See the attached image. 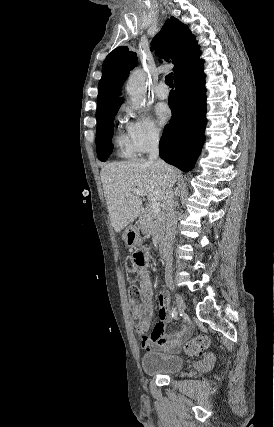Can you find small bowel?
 Masks as SVG:
<instances>
[{
  "label": "small bowel",
  "instance_id": "1",
  "mask_svg": "<svg viewBox=\"0 0 274 427\" xmlns=\"http://www.w3.org/2000/svg\"><path fill=\"white\" fill-rule=\"evenodd\" d=\"M142 251L145 254L146 260L144 265L138 269L136 280L143 295V304L138 311V320L135 324L142 349L146 352L161 351L170 354L178 353L183 343L189 338L191 331L189 327H185L173 334L166 333V324L170 320L169 298L166 293H161L158 298V315L160 321L155 325L150 336L145 335L151 327L153 288L150 272L147 267V262L150 258L149 249L144 248Z\"/></svg>",
  "mask_w": 274,
  "mask_h": 427
}]
</instances>
